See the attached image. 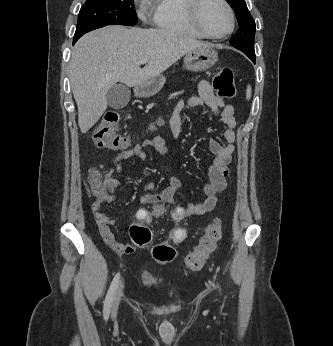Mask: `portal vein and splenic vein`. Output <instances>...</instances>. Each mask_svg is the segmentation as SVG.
Listing matches in <instances>:
<instances>
[{"label":"portal vein and splenic vein","mask_w":333,"mask_h":346,"mask_svg":"<svg viewBox=\"0 0 333 346\" xmlns=\"http://www.w3.org/2000/svg\"><path fill=\"white\" fill-rule=\"evenodd\" d=\"M147 62H148L147 59H143V60L140 61V64H144V63H147Z\"/></svg>","instance_id":"obj_1"}]
</instances>
